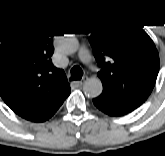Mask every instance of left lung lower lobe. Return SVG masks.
<instances>
[{
	"label": "left lung lower lobe",
	"mask_w": 165,
	"mask_h": 156,
	"mask_svg": "<svg viewBox=\"0 0 165 156\" xmlns=\"http://www.w3.org/2000/svg\"><path fill=\"white\" fill-rule=\"evenodd\" d=\"M93 103L99 110L110 116H123L135 110V108L116 100L105 91L94 98Z\"/></svg>",
	"instance_id": "0a47b994"
}]
</instances>
